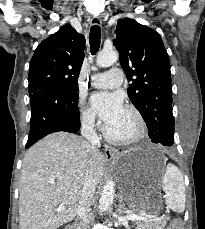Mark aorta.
<instances>
[{"label":"aorta","instance_id":"aorta-1","mask_svg":"<svg viewBox=\"0 0 205 229\" xmlns=\"http://www.w3.org/2000/svg\"><path fill=\"white\" fill-rule=\"evenodd\" d=\"M118 54L116 51H101L96 58V64L99 67H109L116 63ZM115 194V184L112 180H108L103 187L101 197L99 199V208L102 212L108 210L113 203Z\"/></svg>","mask_w":205,"mask_h":229}]
</instances>
